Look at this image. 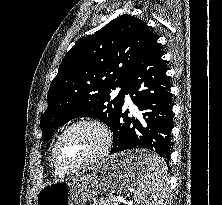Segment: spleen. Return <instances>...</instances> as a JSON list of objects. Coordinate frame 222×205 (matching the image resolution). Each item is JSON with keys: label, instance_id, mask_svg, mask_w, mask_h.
I'll return each instance as SVG.
<instances>
[{"label": "spleen", "instance_id": "1", "mask_svg": "<svg viewBox=\"0 0 222 205\" xmlns=\"http://www.w3.org/2000/svg\"><path fill=\"white\" fill-rule=\"evenodd\" d=\"M145 171L142 182L135 192L138 205H165L167 191V166L156 154L144 157Z\"/></svg>", "mask_w": 222, "mask_h": 205}]
</instances>
